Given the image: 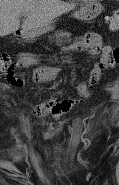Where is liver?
<instances>
[{
    "instance_id": "1",
    "label": "liver",
    "mask_w": 119,
    "mask_h": 185,
    "mask_svg": "<svg viewBox=\"0 0 119 185\" xmlns=\"http://www.w3.org/2000/svg\"><path fill=\"white\" fill-rule=\"evenodd\" d=\"M73 8L74 5L61 0H0V36L19 30L21 15L27 14L22 30H32L48 26Z\"/></svg>"
}]
</instances>
